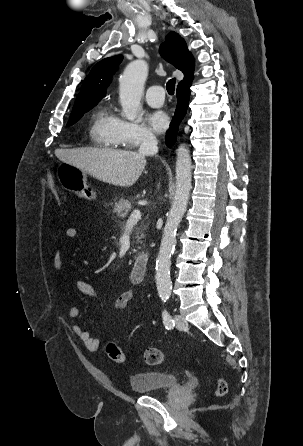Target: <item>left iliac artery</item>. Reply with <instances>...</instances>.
Returning a JSON list of instances; mask_svg holds the SVG:
<instances>
[{
    "instance_id": "obj_1",
    "label": "left iliac artery",
    "mask_w": 303,
    "mask_h": 446,
    "mask_svg": "<svg viewBox=\"0 0 303 446\" xmlns=\"http://www.w3.org/2000/svg\"><path fill=\"white\" fill-rule=\"evenodd\" d=\"M165 302V301H164ZM163 324L166 329H172L175 326L174 320L166 309L162 311Z\"/></svg>"
}]
</instances>
